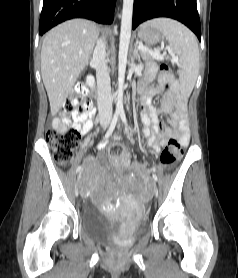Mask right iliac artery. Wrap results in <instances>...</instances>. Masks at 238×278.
<instances>
[{
  "label": "right iliac artery",
  "mask_w": 238,
  "mask_h": 278,
  "mask_svg": "<svg viewBox=\"0 0 238 278\" xmlns=\"http://www.w3.org/2000/svg\"><path fill=\"white\" fill-rule=\"evenodd\" d=\"M117 120H118V114L116 113L112 119V122L110 124L109 129L107 130L104 139L109 138V136L112 134V132L114 131L116 124H117ZM82 169V166H78L76 169V172H79Z\"/></svg>",
  "instance_id": "82829eb1"
}]
</instances>
